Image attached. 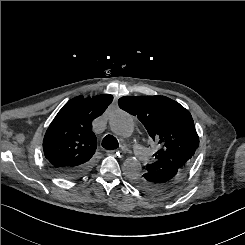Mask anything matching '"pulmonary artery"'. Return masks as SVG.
<instances>
[{
	"instance_id": "1",
	"label": "pulmonary artery",
	"mask_w": 245,
	"mask_h": 245,
	"mask_svg": "<svg viewBox=\"0 0 245 245\" xmlns=\"http://www.w3.org/2000/svg\"><path fill=\"white\" fill-rule=\"evenodd\" d=\"M134 155L136 159L140 162H144L148 159V151L140 145L134 146Z\"/></svg>"
}]
</instances>
